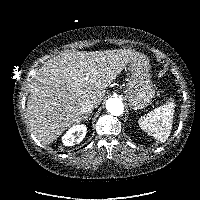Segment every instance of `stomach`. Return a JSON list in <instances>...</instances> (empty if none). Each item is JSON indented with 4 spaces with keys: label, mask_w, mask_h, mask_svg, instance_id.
<instances>
[{
    "label": "stomach",
    "mask_w": 200,
    "mask_h": 200,
    "mask_svg": "<svg viewBox=\"0 0 200 200\" xmlns=\"http://www.w3.org/2000/svg\"><path fill=\"white\" fill-rule=\"evenodd\" d=\"M127 70L130 77L125 88V94L133 109H144L155 95L154 86L151 82L149 61L144 55L139 54L138 57L128 62Z\"/></svg>",
    "instance_id": "stomach-1"
}]
</instances>
